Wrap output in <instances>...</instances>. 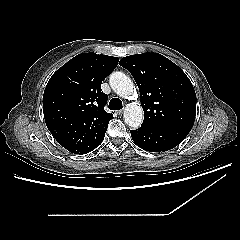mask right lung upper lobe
Wrapping results in <instances>:
<instances>
[{"label": "right lung upper lobe", "instance_id": "obj_1", "mask_svg": "<svg viewBox=\"0 0 240 240\" xmlns=\"http://www.w3.org/2000/svg\"><path fill=\"white\" fill-rule=\"evenodd\" d=\"M119 59L93 52L79 54L59 68L44 90L46 125L68 151L86 154L98 147L113 115L104 110L102 81Z\"/></svg>", "mask_w": 240, "mask_h": 240}]
</instances>
